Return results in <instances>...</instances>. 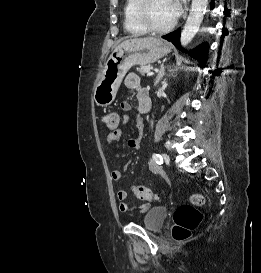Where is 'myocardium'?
Segmentation results:
<instances>
[{"instance_id": "myocardium-1", "label": "myocardium", "mask_w": 261, "mask_h": 273, "mask_svg": "<svg viewBox=\"0 0 261 273\" xmlns=\"http://www.w3.org/2000/svg\"><path fill=\"white\" fill-rule=\"evenodd\" d=\"M152 0H139V3L136 7V19L138 23L146 30L149 32L153 33H165L170 31L175 27L177 24V17L168 25L164 27H157L153 25L148 17V10L150 7Z\"/></svg>"}]
</instances>
